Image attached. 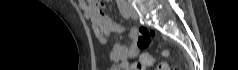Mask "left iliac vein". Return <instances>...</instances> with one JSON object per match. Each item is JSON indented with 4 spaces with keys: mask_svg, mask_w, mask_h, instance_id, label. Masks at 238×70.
Masks as SVG:
<instances>
[{
    "mask_svg": "<svg viewBox=\"0 0 238 70\" xmlns=\"http://www.w3.org/2000/svg\"><path fill=\"white\" fill-rule=\"evenodd\" d=\"M127 9H128V12H129L130 16L132 17V19H137L138 18V14H137L136 10L133 8L132 5L127 4Z\"/></svg>",
    "mask_w": 238,
    "mask_h": 70,
    "instance_id": "1",
    "label": "left iliac vein"
}]
</instances>
